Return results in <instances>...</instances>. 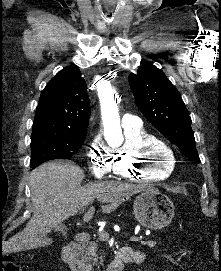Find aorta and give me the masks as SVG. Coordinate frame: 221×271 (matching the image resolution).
Listing matches in <instances>:
<instances>
[{"mask_svg": "<svg viewBox=\"0 0 221 271\" xmlns=\"http://www.w3.org/2000/svg\"><path fill=\"white\" fill-rule=\"evenodd\" d=\"M114 90H110L102 98V119L104 124L108 127H113L116 131L120 132V118L118 113L117 104L114 99Z\"/></svg>", "mask_w": 221, "mask_h": 271, "instance_id": "obj_1", "label": "aorta"}]
</instances>
